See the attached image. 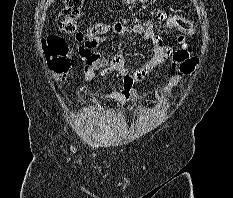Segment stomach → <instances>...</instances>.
Instances as JSON below:
<instances>
[{
    "label": "stomach",
    "instance_id": "obj_1",
    "mask_svg": "<svg viewBox=\"0 0 233 198\" xmlns=\"http://www.w3.org/2000/svg\"><path fill=\"white\" fill-rule=\"evenodd\" d=\"M137 1L142 2V3H146V2H149L150 0H122V2H124L126 4H133Z\"/></svg>",
    "mask_w": 233,
    "mask_h": 198
}]
</instances>
